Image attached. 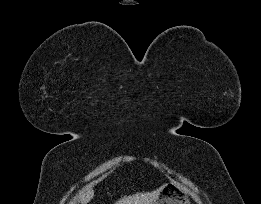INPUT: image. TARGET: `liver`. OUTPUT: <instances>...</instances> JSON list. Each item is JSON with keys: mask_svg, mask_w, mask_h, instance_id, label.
I'll return each instance as SVG.
<instances>
[{"mask_svg": "<svg viewBox=\"0 0 261 204\" xmlns=\"http://www.w3.org/2000/svg\"><path fill=\"white\" fill-rule=\"evenodd\" d=\"M160 189H156L152 192L136 193L132 196H124L118 200L115 204H152L160 194ZM94 196V191L91 185L84 187L77 197L76 201L82 202L83 204L88 203ZM76 201L70 204H76Z\"/></svg>", "mask_w": 261, "mask_h": 204, "instance_id": "1", "label": "liver"}]
</instances>
